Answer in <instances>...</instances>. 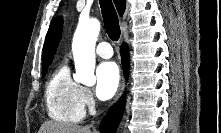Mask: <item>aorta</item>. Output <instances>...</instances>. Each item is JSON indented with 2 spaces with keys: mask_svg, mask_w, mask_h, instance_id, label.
Returning a JSON list of instances; mask_svg holds the SVG:
<instances>
[{
  "mask_svg": "<svg viewBox=\"0 0 221 133\" xmlns=\"http://www.w3.org/2000/svg\"><path fill=\"white\" fill-rule=\"evenodd\" d=\"M100 32V22L97 19L82 20L75 31L72 51L75 62L74 80L92 86L96 82L95 45Z\"/></svg>",
  "mask_w": 221,
  "mask_h": 133,
  "instance_id": "762f6f07",
  "label": "aorta"
}]
</instances>
